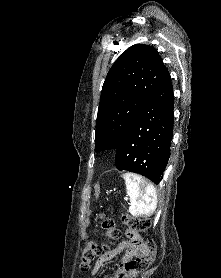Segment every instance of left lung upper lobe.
<instances>
[{"instance_id": "obj_1", "label": "left lung upper lobe", "mask_w": 221, "mask_h": 278, "mask_svg": "<svg viewBox=\"0 0 221 278\" xmlns=\"http://www.w3.org/2000/svg\"><path fill=\"white\" fill-rule=\"evenodd\" d=\"M166 67L155 48L135 44L109 70L102 87L95 151L117 148L154 93Z\"/></svg>"}]
</instances>
